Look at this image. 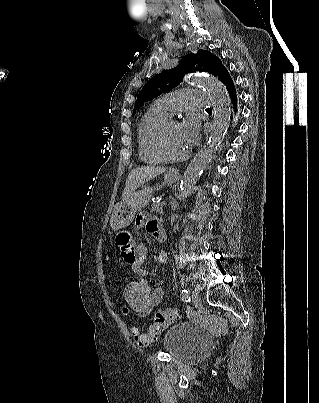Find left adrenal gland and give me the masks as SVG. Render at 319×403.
<instances>
[{
  "instance_id": "obj_1",
  "label": "left adrenal gland",
  "mask_w": 319,
  "mask_h": 403,
  "mask_svg": "<svg viewBox=\"0 0 319 403\" xmlns=\"http://www.w3.org/2000/svg\"><path fill=\"white\" fill-rule=\"evenodd\" d=\"M179 206V204L176 202V200H172L171 202V210L174 211L176 208Z\"/></svg>"
}]
</instances>
